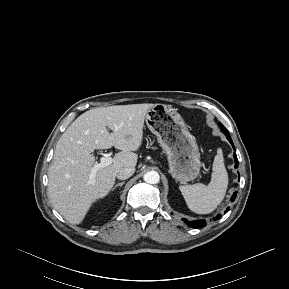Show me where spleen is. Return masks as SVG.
<instances>
[{"mask_svg": "<svg viewBox=\"0 0 289 289\" xmlns=\"http://www.w3.org/2000/svg\"><path fill=\"white\" fill-rule=\"evenodd\" d=\"M212 170L211 181L208 185L198 183L179 186L188 208L197 214L213 212L226 194L228 174L221 149H218L214 158Z\"/></svg>", "mask_w": 289, "mask_h": 289, "instance_id": "1", "label": "spleen"}]
</instances>
